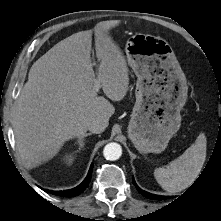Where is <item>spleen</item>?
Returning <instances> with one entry per match:
<instances>
[{"label": "spleen", "mask_w": 221, "mask_h": 221, "mask_svg": "<svg viewBox=\"0 0 221 221\" xmlns=\"http://www.w3.org/2000/svg\"><path fill=\"white\" fill-rule=\"evenodd\" d=\"M207 140L204 133H200L195 143L166 168L154 170V177L158 184L169 193L181 192L188 188L200 174L206 160Z\"/></svg>", "instance_id": "3e777b00"}]
</instances>
